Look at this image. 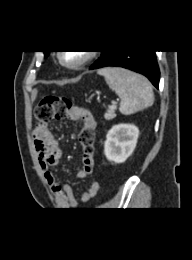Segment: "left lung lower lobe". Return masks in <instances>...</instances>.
<instances>
[{
	"label": "left lung lower lobe",
	"mask_w": 192,
	"mask_h": 260,
	"mask_svg": "<svg viewBox=\"0 0 192 260\" xmlns=\"http://www.w3.org/2000/svg\"><path fill=\"white\" fill-rule=\"evenodd\" d=\"M107 66L123 67L141 73L156 88L159 87L160 71L154 50L102 51L101 57L90 66V69Z\"/></svg>",
	"instance_id": "obj_1"
}]
</instances>
